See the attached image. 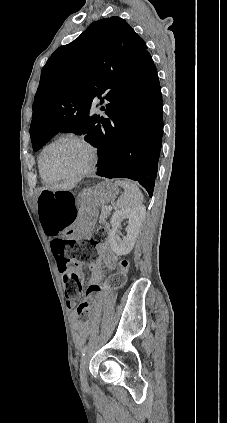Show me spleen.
Listing matches in <instances>:
<instances>
[{
  "label": "spleen",
  "instance_id": "3e777b00",
  "mask_svg": "<svg viewBox=\"0 0 227 423\" xmlns=\"http://www.w3.org/2000/svg\"><path fill=\"white\" fill-rule=\"evenodd\" d=\"M115 184L117 186H122L124 192L122 196H120L119 200H117L118 208H122V210H126V208H138L141 206L143 202V196L136 184H133L131 180H116Z\"/></svg>",
  "mask_w": 227,
  "mask_h": 423
}]
</instances>
